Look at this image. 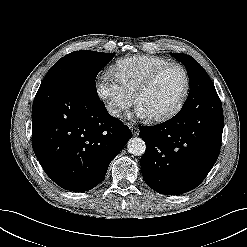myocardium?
<instances>
[{
	"mask_svg": "<svg viewBox=\"0 0 247 247\" xmlns=\"http://www.w3.org/2000/svg\"><path fill=\"white\" fill-rule=\"evenodd\" d=\"M172 67H177V68H180L182 70L184 77H185V86H184V89H183V92H182L180 98L178 99L177 103L172 108H170L169 110H167L164 113L148 116L151 120L156 121V122L165 121V120H168L169 118L173 117L175 114H177L180 111V109L184 105V103L188 97L189 91H190V77H189L187 69L182 64L176 63V62H171V63L165 64V65L157 68L156 70H154L150 75H148L143 80V82L137 87V89L134 93V102L138 106L141 96L155 83L157 78L164 71H166L167 69L172 68Z\"/></svg>",
	"mask_w": 247,
	"mask_h": 247,
	"instance_id": "f54148a6",
	"label": "myocardium"
}]
</instances>
